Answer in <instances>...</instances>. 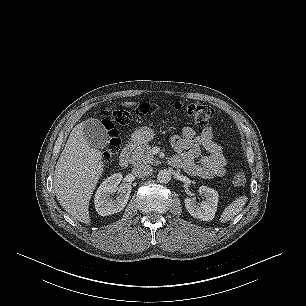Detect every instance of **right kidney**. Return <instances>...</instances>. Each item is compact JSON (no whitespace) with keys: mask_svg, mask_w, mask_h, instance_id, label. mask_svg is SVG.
Returning a JSON list of instances; mask_svg holds the SVG:
<instances>
[{"mask_svg":"<svg viewBox=\"0 0 306 306\" xmlns=\"http://www.w3.org/2000/svg\"><path fill=\"white\" fill-rule=\"evenodd\" d=\"M122 180V174L115 173L101 183L95 194V208L99 215L107 216L120 212L126 206L132 186L128 183H119ZM118 191L116 199H111L110 195Z\"/></svg>","mask_w":306,"mask_h":306,"instance_id":"right-kidney-1","label":"right kidney"}]
</instances>
